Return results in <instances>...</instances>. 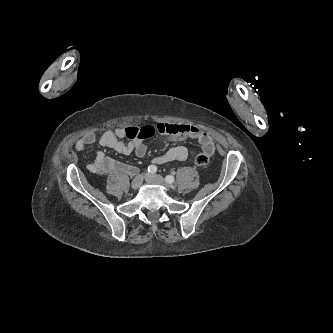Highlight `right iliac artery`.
<instances>
[{"label":"right iliac artery","mask_w":333,"mask_h":333,"mask_svg":"<svg viewBox=\"0 0 333 333\" xmlns=\"http://www.w3.org/2000/svg\"><path fill=\"white\" fill-rule=\"evenodd\" d=\"M157 171V167L155 165H150L148 167V172L149 173H155Z\"/></svg>","instance_id":"obj_1"}]
</instances>
